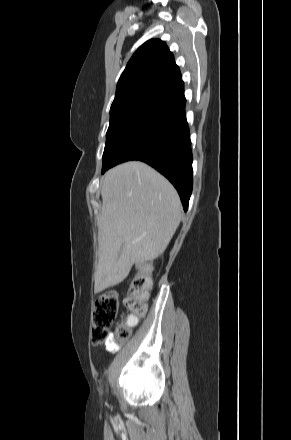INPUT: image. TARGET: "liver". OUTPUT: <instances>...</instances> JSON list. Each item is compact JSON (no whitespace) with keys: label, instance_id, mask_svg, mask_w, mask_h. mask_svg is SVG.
<instances>
[{"label":"liver","instance_id":"obj_1","mask_svg":"<svg viewBox=\"0 0 291 440\" xmlns=\"http://www.w3.org/2000/svg\"><path fill=\"white\" fill-rule=\"evenodd\" d=\"M101 196L96 292L121 283L135 263L163 254L182 216L172 184L140 161L107 171Z\"/></svg>","mask_w":291,"mask_h":440}]
</instances>
